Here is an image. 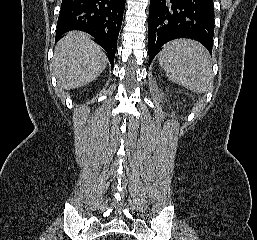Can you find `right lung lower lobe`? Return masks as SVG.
<instances>
[{
    "instance_id": "1",
    "label": "right lung lower lobe",
    "mask_w": 257,
    "mask_h": 240,
    "mask_svg": "<svg viewBox=\"0 0 257 240\" xmlns=\"http://www.w3.org/2000/svg\"><path fill=\"white\" fill-rule=\"evenodd\" d=\"M126 0H62L55 42L71 30L84 31L96 40L113 67L117 38Z\"/></svg>"
}]
</instances>
